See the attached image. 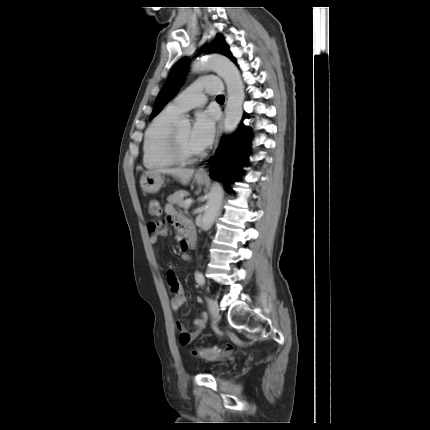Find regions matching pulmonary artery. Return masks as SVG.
I'll list each match as a JSON object with an SVG mask.
<instances>
[{
	"label": "pulmonary artery",
	"instance_id": "pulmonary-artery-1",
	"mask_svg": "<svg viewBox=\"0 0 430 430\" xmlns=\"http://www.w3.org/2000/svg\"><path fill=\"white\" fill-rule=\"evenodd\" d=\"M220 93V82L214 78H200L183 90L167 107L168 110L182 115L191 109L201 107L206 102V94Z\"/></svg>",
	"mask_w": 430,
	"mask_h": 430
}]
</instances>
